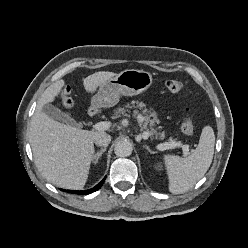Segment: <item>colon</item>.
<instances>
[{
  "label": "colon",
  "instance_id": "1",
  "mask_svg": "<svg viewBox=\"0 0 248 248\" xmlns=\"http://www.w3.org/2000/svg\"><path fill=\"white\" fill-rule=\"evenodd\" d=\"M166 89L172 94H178L184 92L185 86L178 80H168L166 82ZM61 98L65 108H70L72 106L69 89L63 90ZM181 131L185 136H192L194 134V120L191 116L188 115L185 117L181 125Z\"/></svg>",
  "mask_w": 248,
  "mask_h": 248
}]
</instances>
